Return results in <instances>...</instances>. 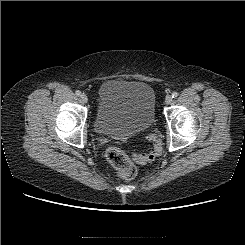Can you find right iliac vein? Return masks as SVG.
Segmentation results:
<instances>
[{"label": "right iliac vein", "mask_w": 245, "mask_h": 245, "mask_svg": "<svg viewBox=\"0 0 245 245\" xmlns=\"http://www.w3.org/2000/svg\"><path fill=\"white\" fill-rule=\"evenodd\" d=\"M81 100L84 102V103H87L88 102V97L86 94H82L81 96Z\"/></svg>", "instance_id": "63e3f726"}]
</instances>
